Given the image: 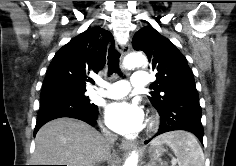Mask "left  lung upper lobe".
Masks as SVG:
<instances>
[{
	"label": "left lung upper lobe",
	"instance_id": "obj_1",
	"mask_svg": "<svg viewBox=\"0 0 236 166\" xmlns=\"http://www.w3.org/2000/svg\"><path fill=\"white\" fill-rule=\"evenodd\" d=\"M132 43L135 50L145 52L157 72V79L150 86L154 91L148 96L157 111L198 96L187 60L170 40L148 26L135 33Z\"/></svg>",
	"mask_w": 236,
	"mask_h": 166
}]
</instances>
